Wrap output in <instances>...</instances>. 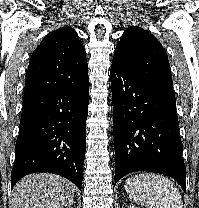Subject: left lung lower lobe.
<instances>
[{
	"mask_svg": "<svg viewBox=\"0 0 199 208\" xmlns=\"http://www.w3.org/2000/svg\"><path fill=\"white\" fill-rule=\"evenodd\" d=\"M115 183L134 171L174 178L186 192V167L173 89L112 62Z\"/></svg>",
	"mask_w": 199,
	"mask_h": 208,
	"instance_id": "0a47b994",
	"label": "left lung lower lobe"
}]
</instances>
